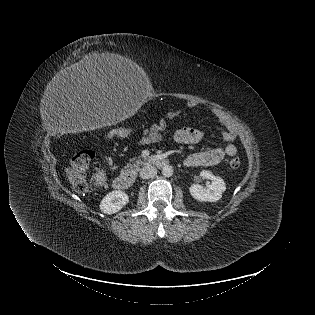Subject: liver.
I'll list each match as a JSON object with an SVG mask.
<instances>
[{
  "label": "liver",
  "instance_id": "liver-1",
  "mask_svg": "<svg viewBox=\"0 0 315 315\" xmlns=\"http://www.w3.org/2000/svg\"><path fill=\"white\" fill-rule=\"evenodd\" d=\"M140 74L130 59L114 53H93L65 68L58 78L66 83L131 81Z\"/></svg>",
  "mask_w": 315,
  "mask_h": 315
}]
</instances>
